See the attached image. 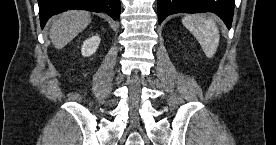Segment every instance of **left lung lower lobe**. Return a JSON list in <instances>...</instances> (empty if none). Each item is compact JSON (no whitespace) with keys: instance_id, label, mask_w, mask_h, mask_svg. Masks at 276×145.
Masks as SVG:
<instances>
[{"instance_id":"obj_1","label":"left lung lower lobe","mask_w":276,"mask_h":145,"mask_svg":"<svg viewBox=\"0 0 276 145\" xmlns=\"http://www.w3.org/2000/svg\"><path fill=\"white\" fill-rule=\"evenodd\" d=\"M235 0H158V23L174 13H216L226 24L231 27Z\"/></svg>"}]
</instances>
